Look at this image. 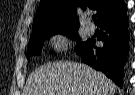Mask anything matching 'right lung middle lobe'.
<instances>
[{
    "label": "right lung middle lobe",
    "mask_w": 135,
    "mask_h": 95,
    "mask_svg": "<svg viewBox=\"0 0 135 95\" xmlns=\"http://www.w3.org/2000/svg\"><path fill=\"white\" fill-rule=\"evenodd\" d=\"M54 34H62L68 36L70 39L78 40L79 36L77 30H64V31H42L32 33L28 44L27 58L33 55H39L44 41ZM87 42V41H86ZM86 42H78L75 46V51L79 50Z\"/></svg>",
    "instance_id": "right-lung-middle-lobe-1"
}]
</instances>
